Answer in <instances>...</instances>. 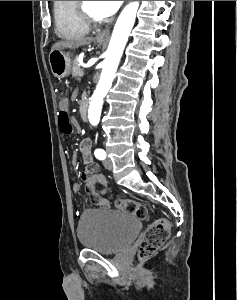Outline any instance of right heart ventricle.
Returning <instances> with one entry per match:
<instances>
[{
	"label": "right heart ventricle",
	"instance_id": "e07e8e85",
	"mask_svg": "<svg viewBox=\"0 0 237 300\" xmlns=\"http://www.w3.org/2000/svg\"><path fill=\"white\" fill-rule=\"evenodd\" d=\"M53 15L56 32L63 38L83 36L90 30L78 14L77 1H54Z\"/></svg>",
	"mask_w": 237,
	"mask_h": 300
}]
</instances>
